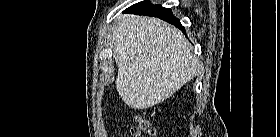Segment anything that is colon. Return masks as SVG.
Wrapping results in <instances>:
<instances>
[{"mask_svg":"<svg viewBox=\"0 0 280 137\" xmlns=\"http://www.w3.org/2000/svg\"><path fill=\"white\" fill-rule=\"evenodd\" d=\"M132 134L136 137L154 136L156 134L155 128L151 122L142 117H136L134 123L130 124Z\"/></svg>","mask_w":280,"mask_h":137,"instance_id":"obj_1","label":"colon"}]
</instances>
